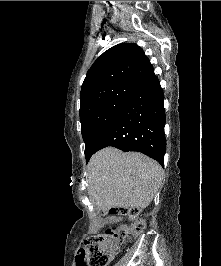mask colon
I'll use <instances>...</instances> for the list:
<instances>
[{
  "instance_id": "5ec220e1",
  "label": "colon",
  "mask_w": 221,
  "mask_h": 266,
  "mask_svg": "<svg viewBox=\"0 0 221 266\" xmlns=\"http://www.w3.org/2000/svg\"><path fill=\"white\" fill-rule=\"evenodd\" d=\"M112 215L127 217L133 221L128 227L111 228L105 234L95 235L85 242V262L88 266H107L120 246L130 237L142 232L144 221L138 217L137 209L118 208L110 211Z\"/></svg>"
}]
</instances>
